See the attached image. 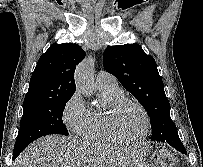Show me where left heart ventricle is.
Masks as SVG:
<instances>
[{
	"instance_id": "obj_1",
	"label": "left heart ventricle",
	"mask_w": 203,
	"mask_h": 167,
	"mask_svg": "<svg viewBox=\"0 0 203 167\" xmlns=\"http://www.w3.org/2000/svg\"><path fill=\"white\" fill-rule=\"evenodd\" d=\"M143 127L144 118L136 106L124 103L119 107L114 119V128L120 137L136 139L141 135Z\"/></svg>"
}]
</instances>
